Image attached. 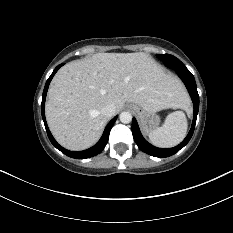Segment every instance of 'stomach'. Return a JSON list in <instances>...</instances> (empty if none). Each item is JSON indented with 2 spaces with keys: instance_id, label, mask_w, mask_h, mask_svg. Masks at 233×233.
I'll use <instances>...</instances> for the list:
<instances>
[{
  "instance_id": "stomach-1",
  "label": "stomach",
  "mask_w": 233,
  "mask_h": 233,
  "mask_svg": "<svg viewBox=\"0 0 233 233\" xmlns=\"http://www.w3.org/2000/svg\"><path fill=\"white\" fill-rule=\"evenodd\" d=\"M130 107L136 112L145 133H150L158 126L160 118L156 112H150L137 104H130Z\"/></svg>"
}]
</instances>
